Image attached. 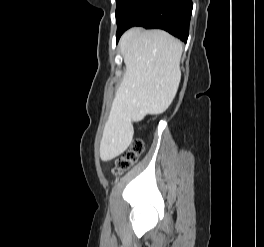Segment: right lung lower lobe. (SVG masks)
I'll use <instances>...</instances> for the list:
<instances>
[{
    "instance_id": "obj_1",
    "label": "right lung lower lobe",
    "mask_w": 264,
    "mask_h": 247,
    "mask_svg": "<svg viewBox=\"0 0 264 247\" xmlns=\"http://www.w3.org/2000/svg\"><path fill=\"white\" fill-rule=\"evenodd\" d=\"M192 0H129L118 22L116 39L132 26L163 29L186 42Z\"/></svg>"
}]
</instances>
